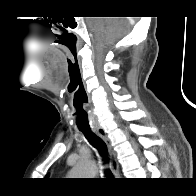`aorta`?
I'll return each mask as SVG.
<instances>
[{"instance_id": "aorta-1", "label": "aorta", "mask_w": 196, "mask_h": 196, "mask_svg": "<svg viewBox=\"0 0 196 196\" xmlns=\"http://www.w3.org/2000/svg\"><path fill=\"white\" fill-rule=\"evenodd\" d=\"M97 167L90 160H81L70 171L71 178H89L95 175Z\"/></svg>"}]
</instances>
